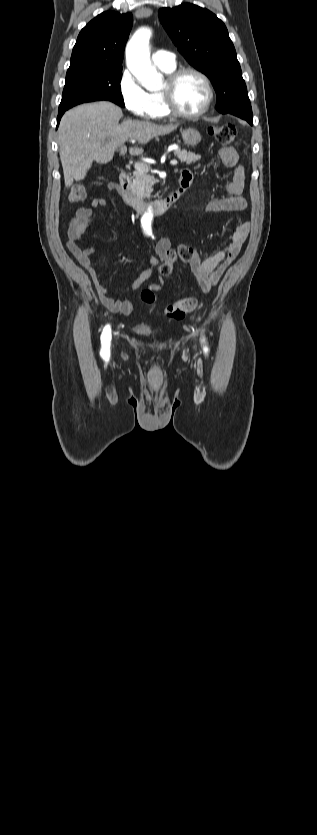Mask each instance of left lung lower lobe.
<instances>
[{"instance_id": "obj_1", "label": "left lung lower lobe", "mask_w": 317, "mask_h": 835, "mask_svg": "<svg viewBox=\"0 0 317 835\" xmlns=\"http://www.w3.org/2000/svg\"><path fill=\"white\" fill-rule=\"evenodd\" d=\"M223 114H226V113H223ZM228 114H232V115H235V116H237V117H239V118H241V119H244V120H246V121H247L250 125H252V124H253L252 117H249V116H243V115L236 114V113H228Z\"/></svg>"}]
</instances>
